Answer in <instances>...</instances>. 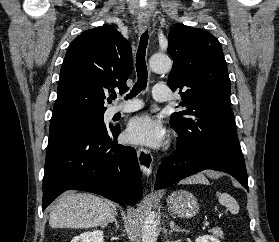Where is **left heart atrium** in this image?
I'll return each instance as SVG.
<instances>
[{"label":"left heart atrium","instance_id":"obj_1","mask_svg":"<svg viewBox=\"0 0 279 242\" xmlns=\"http://www.w3.org/2000/svg\"><path fill=\"white\" fill-rule=\"evenodd\" d=\"M126 138L133 144L157 147L163 142L164 131L159 122L147 114H142L130 120Z\"/></svg>","mask_w":279,"mask_h":242}]
</instances>
